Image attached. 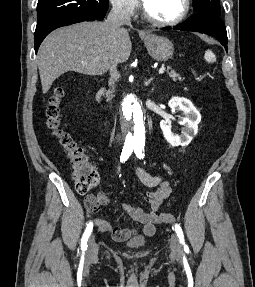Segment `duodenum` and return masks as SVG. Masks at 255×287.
<instances>
[{
  "mask_svg": "<svg viewBox=\"0 0 255 287\" xmlns=\"http://www.w3.org/2000/svg\"><path fill=\"white\" fill-rule=\"evenodd\" d=\"M101 93H102L101 90L98 91V93L96 94V99H98L100 97ZM100 119H101V121L103 122L104 125H107V122L105 121V119L102 116H100Z\"/></svg>",
  "mask_w": 255,
  "mask_h": 287,
  "instance_id": "410a0bca",
  "label": "duodenum"
}]
</instances>
